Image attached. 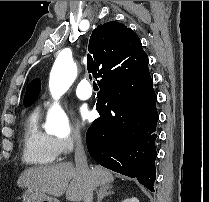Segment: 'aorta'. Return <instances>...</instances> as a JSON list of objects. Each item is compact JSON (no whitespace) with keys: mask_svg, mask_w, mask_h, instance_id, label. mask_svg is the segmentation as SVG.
Listing matches in <instances>:
<instances>
[{"mask_svg":"<svg viewBox=\"0 0 209 202\" xmlns=\"http://www.w3.org/2000/svg\"><path fill=\"white\" fill-rule=\"evenodd\" d=\"M77 76V68L72 57L60 53L51 70L49 90L52 97L57 100L72 85ZM46 132L52 134H68L70 131L69 119L64 110L56 103L48 111L44 125Z\"/></svg>","mask_w":209,"mask_h":202,"instance_id":"762f6f07","label":"aorta"}]
</instances>
